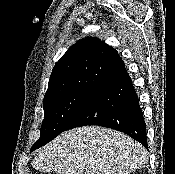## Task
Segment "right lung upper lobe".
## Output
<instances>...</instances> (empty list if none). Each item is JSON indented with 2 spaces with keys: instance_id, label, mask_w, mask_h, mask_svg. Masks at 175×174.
<instances>
[{
  "instance_id": "obj_1",
  "label": "right lung upper lobe",
  "mask_w": 175,
  "mask_h": 174,
  "mask_svg": "<svg viewBox=\"0 0 175 174\" xmlns=\"http://www.w3.org/2000/svg\"><path fill=\"white\" fill-rule=\"evenodd\" d=\"M123 67L124 62L111 46L97 38L80 40L56 63L44 99L70 91L93 89Z\"/></svg>"
}]
</instances>
